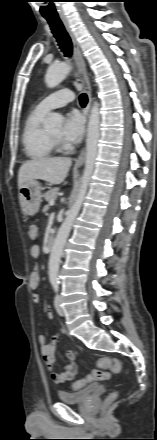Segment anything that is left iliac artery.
Listing matches in <instances>:
<instances>
[{"instance_id": "1", "label": "left iliac artery", "mask_w": 157, "mask_h": 440, "mask_svg": "<svg viewBox=\"0 0 157 440\" xmlns=\"http://www.w3.org/2000/svg\"><path fill=\"white\" fill-rule=\"evenodd\" d=\"M52 285H53L54 291L57 292L59 289V282H53Z\"/></svg>"}]
</instances>
